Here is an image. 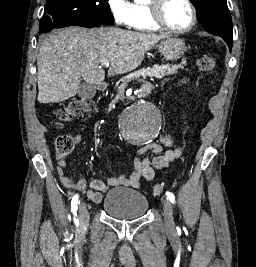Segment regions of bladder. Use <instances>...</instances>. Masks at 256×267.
I'll use <instances>...</instances> for the list:
<instances>
[{
    "mask_svg": "<svg viewBox=\"0 0 256 267\" xmlns=\"http://www.w3.org/2000/svg\"><path fill=\"white\" fill-rule=\"evenodd\" d=\"M148 199L141 192L127 188L112 189L104 198L102 208L120 219H132L144 215Z\"/></svg>",
    "mask_w": 256,
    "mask_h": 267,
    "instance_id": "bladder-1",
    "label": "bladder"
}]
</instances>
